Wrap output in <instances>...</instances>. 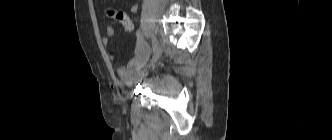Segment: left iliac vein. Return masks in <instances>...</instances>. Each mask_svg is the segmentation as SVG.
<instances>
[{"label":"left iliac vein","mask_w":332,"mask_h":140,"mask_svg":"<svg viewBox=\"0 0 332 140\" xmlns=\"http://www.w3.org/2000/svg\"><path fill=\"white\" fill-rule=\"evenodd\" d=\"M162 51H163L162 47L160 45H158L156 51L153 54V57H152L151 62H150V65H153L154 63H156L159 60V58L162 55Z\"/></svg>","instance_id":"1"}]
</instances>
